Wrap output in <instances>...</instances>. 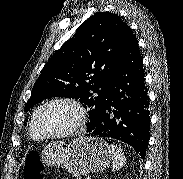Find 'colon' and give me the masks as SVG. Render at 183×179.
Segmentation results:
<instances>
[{
	"label": "colon",
	"instance_id": "obj_1",
	"mask_svg": "<svg viewBox=\"0 0 183 179\" xmlns=\"http://www.w3.org/2000/svg\"><path fill=\"white\" fill-rule=\"evenodd\" d=\"M41 171L39 154L36 151H31L25 162L24 177L25 179H43Z\"/></svg>",
	"mask_w": 183,
	"mask_h": 179
}]
</instances>
